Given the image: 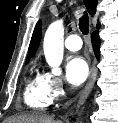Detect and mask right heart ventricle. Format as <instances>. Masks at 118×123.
Segmentation results:
<instances>
[{
    "label": "right heart ventricle",
    "instance_id": "1",
    "mask_svg": "<svg viewBox=\"0 0 118 123\" xmlns=\"http://www.w3.org/2000/svg\"><path fill=\"white\" fill-rule=\"evenodd\" d=\"M24 100L30 108L36 110H47L52 104L46 92L41 75L35 74L27 81Z\"/></svg>",
    "mask_w": 118,
    "mask_h": 123
}]
</instances>
